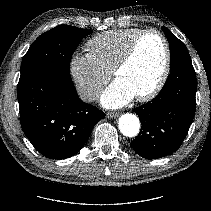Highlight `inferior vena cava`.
I'll return each instance as SVG.
<instances>
[{
	"mask_svg": "<svg viewBox=\"0 0 211 211\" xmlns=\"http://www.w3.org/2000/svg\"><path fill=\"white\" fill-rule=\"evenodd\" d=\"M99 95V90L97 89H84L79 92V96L83 101H93Z\"/></svg>",
	"mask_w": 211,
	"mask_h": 211,
	"instance_id": "1",
	"label": "inferior vena cava"
}]
</instances>
